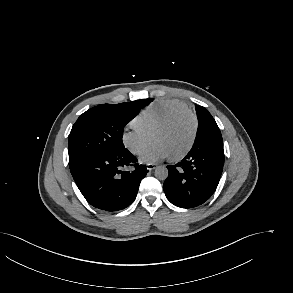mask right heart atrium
<instances>
[{
    "label": "right heart atrium",
    "instance_id": "obj_1",
    "mask_svg": "<svg viewBox=\"0 0 293 293\" xmlns=\"http://www.w3.org/2000/svg\"><path fill=\"white\" fill-rule=\"evenodd\" d=\"M124 147L132 154H141L150 142V136L144 134L135 127L124 129L121 135Z\"/></svg>",
    "mask_w": 293,
    "mask_h": 293
}]
</instances>
